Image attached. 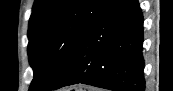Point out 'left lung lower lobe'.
Masks as SVG:
<instances>
[{"mask_svg": "<svg viewBox=\"0 0 173 91\" xmlns=\"http://www.w3.org/2000/svg\"><path fill=\"white\" fill-rule=\"evenodd\" d=\"M143 16L137 0H112L89 30L73 62L48 91L83 83L114 91H144Z\"/></svg>", "mask_w": 173, "mask_h": 91, "instance_id": "1", "label": "left lung lower lobe"}]
</instances>
